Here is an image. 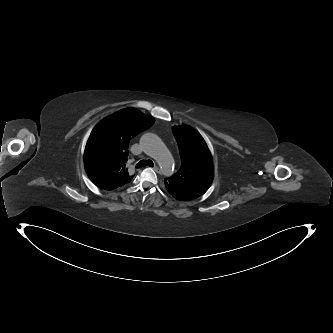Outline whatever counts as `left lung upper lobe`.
Listing matches in <instances>:
<instances>
[{"mask_svg": "<svg viewBox=\"0 0 333 333\" xmlns=\"http://www.w3.org/2000/svg\"><path fill=\"white\" fill-rule=\"evenodd\" d=\"M173 134L179 146L181 168L165 179V187L178 200H193L203 195L211 184V154L202 136L193 128L174 127Z\"/></svg>", "mask_w": 333, "mask_h": 333, "instance_id": "5c2ea615", "label": "left lung upper lobe"}]
</instances>
